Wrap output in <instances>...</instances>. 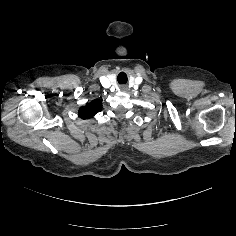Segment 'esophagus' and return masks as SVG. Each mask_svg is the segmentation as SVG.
<instances>
[{"mask_svg": "<svg viewBox=\"0 0 236 236\" xmlns=\"http://www.w3.org/2000/svg\"><path fill=\"white\" fill-rule=\"evenodd\" d=\"M120 88H121V90H122V89H124L125 87H124V86H121Z\"/></svg>", "mask_w": 236, "mask_h": 236, "instance_id": "obj_1", "label": "esophagus"}]
</instances>
